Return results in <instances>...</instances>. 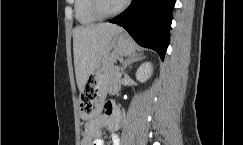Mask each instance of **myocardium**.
<instances>
[{"label":"myocardium","instance_id":"myocardium-1","mask_svg":"<svg viewBox=\"0 0 243 145\" xmlns=\"http://www.w3.org/2000/svg\"><path fill=\"white\" fill-rule=\"evenodd\" d=\"M92 13L100 19L110 18L122 13L129 5L130 0H124L121 6L113 11H106L102 0H90Z\"/></svg>","mask_w":243,"mask_h":145}]
</instances>
